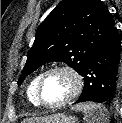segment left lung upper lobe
<instances>
[{"mask_svg": "<svg viewBox=\"0 0 122 123\" xmlns=\"http://www.w3.org/2000/svg\"><path fill=\"white\" fill-rule=\"evenodd\" d=\"M113 27L114 20L100 0H62L39 25L18 84L52 61L65 62L81 74Z\"/></svg>", "mask_w": 122, "mask_h": 123, "instance_id": "5c2ea615", "label": "left lung upper lobe"}]
</instances>
